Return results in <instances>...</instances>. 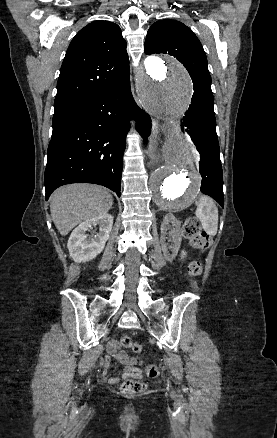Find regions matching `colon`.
Listing matches in <instances>:
<instances>
[{
	"label": "colon",
	"instance_id": "1",
	"mask_svg": "<svg viewBox=\"0 0 277 438\" xmlns=\"http://www.w3.org/2000/svg\"><path fill=\"white\" fill-rule=\"evenodd\" d=\"M182 234L195 249H207L210 244L203 226L195 218H188L184 222ZM202 270V263L198 261L188 264L189 275L192 279L200 276ZM120 342L124 347H132L137 353L141 351L140 347L137 344H133L129 337H122ZM146 375L149 378H157L160 375V370L156 365L148 366L146 368ZM146 386L145 380H121L120 382L121 393L129 398H144Z\"/></svg>",
	"mask_w": 277,
	"mask_h": 438
}]
</instances>
